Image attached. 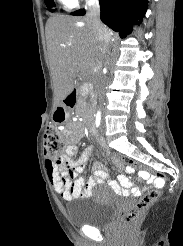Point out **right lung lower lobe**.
<instances>
[{
	"instance_id": "98d812e1",
	"label": "right lung lower lobe",
	"mask_w": 183,
	"mask_h": 246,
	"mask_svg": "<svg viewBox=\"0 0 183 246\" xmlns=\"http://www.w3.org/2000/svg\"><path fill=\"white\" fill-rule=\"evenodd\" d=\"M147 2L148 0H99L101 20L124 38L131 33L133 24L139 25L142 22ZM71 14L82 16L85 11L81 9Z\"/></svg>"
}]
</instances>
